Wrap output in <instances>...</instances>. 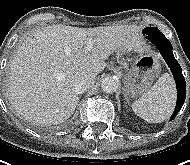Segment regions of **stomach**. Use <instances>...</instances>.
<instances>
[{"label":"stomach","mask_w":190,"mask_h":165,"mask_svg":"<svg viewBox=\"0 0 190 165\" xmlns=\"http://www.w3.org/2000/svg\"><path fill=\"white\" fill-rule=\"evenodd\" d=\"M159 72L160 64L155 56L142 55L136 58L124 78L125 95L131 98L143 96Z\"/></svg>","instance_id":"stomach-1"}]
</instances>
